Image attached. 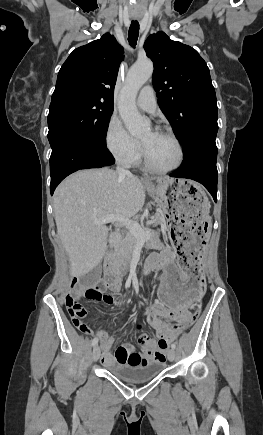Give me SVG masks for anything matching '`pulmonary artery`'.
<instances>
[{
  "label": "pulmonary artery",
  "mask_w": 263,
  "mask_h": 435,
  "mask_svg": "<svg viewBox=\"0 0 263 435\" xmlns=\"http://www.w3.org/2000/svg\"><path fill=\"white\" fill-rule=\"evenodd\" d=\"M136 103L141 110L149 113H155L157 110V102L153 88L151 86L143 87L139 93Z\"/></svg>",
  "instance_id": "obj_1"
}]
</instances>
